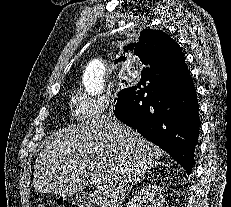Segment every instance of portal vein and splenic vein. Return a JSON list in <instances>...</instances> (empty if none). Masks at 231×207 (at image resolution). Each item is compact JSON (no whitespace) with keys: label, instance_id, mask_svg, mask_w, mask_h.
<instances>
[{"label":"portal vein and splenic vein","instance_id":"obj_1","mask_svg":"<svg viewBox=\"0 0 231 207\" xmlns=\"http://www.w3.org/2000/svg\"><path fill=\"white\" fill-rule=\"evenodd\" d=\"M93 181H94V182H97V181H98V179H94Z\"/></svg>","mask_w":231,"mask_h":207}]
</instances>
